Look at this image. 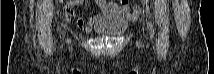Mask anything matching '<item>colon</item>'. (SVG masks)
Wrapping results in <instances>:
<instances>
[{
  "mask_svg": "<svg viewBox=\"0 0 214 74\" xmlns=\"http://www.w3.org/2000/svg\"><path fill=\"white\" fill-rule=\"evenodd\" d=\"M72 2H76V1H72ZM123 2H127V1H123ZM148 2V0H140L139 1V3H141V4H145V3H147Z\"/></svg>",
  "mask_w": 214,
  "mask_h": 74,
  "instance_id": "1",
  "label": "colon"
}]
</instances>
